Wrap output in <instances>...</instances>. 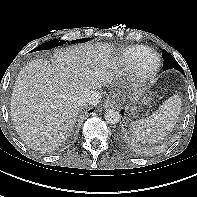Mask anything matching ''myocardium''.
<instances>
[{"instance_id": "1", "label": "myocardium", "mask_w": 197, "mask_h": 197, "mask_svg": "<svg viewBox=\"0 0 197 197\" xmlns=\"http://www.w3.org/2000/svg\"><path fill=\"white\" fill-rule=\"evenodd\" d=\"M150 57L156 58V64L155 66L150 69L146 70L143 68V65L147 59ZM161 66V59L159 54L156 52H148L144 56H142L133 66L131 69V84L134 88H140L144 84H146L150 79H152L156 73L159 71V68Z\"/></svg>"}]
</instances>
